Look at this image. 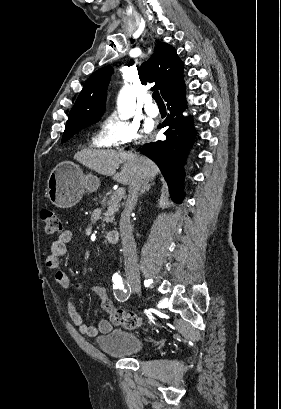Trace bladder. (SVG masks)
Wrapping results in <instances>:
<instances>
[{
  "mask_svg": "<svg viewBox=\"0 0 281 409\" xmlns=\"http://www.w3.org/2000/svg\"><path fill=\"white\" fill-rule=\"evenodd\" d=\"M96 346L108 357L127 358L148 351L146 341L131 329L112 328L95 338Z\"/></svg>",
  "mask_w": 281,
  "mask_h": 409,
  "instance_id": "1",
  "label": "bladder"
}]
</instances>
